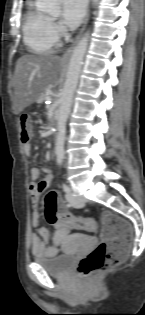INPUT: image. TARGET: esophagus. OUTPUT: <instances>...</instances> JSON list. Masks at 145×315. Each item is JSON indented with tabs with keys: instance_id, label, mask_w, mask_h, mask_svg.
<instances>
[{
	"instance_id": "1",
	"label": "esophagus",
	"mask_w": 145,
	"mask_h": 315,
	"mask_svg": "<svg viewBox=\"0 0 145 315\" xmlns=\"http://www.w3.org/2000/svg\"><path fill=\"white\" fill-rule=\"evenodd\" d=\"M89 4H90V3H89V1H88L87 13H86V17H85V20H84V25H83V27H82V29H81L79 35L77 36L76 40H75L74 43L72 44V46L69 47V48L67 49V51H66V52L63 54V56L61 57V60H62V61H67V60L70 58L75 43L78 41V39L80 38L81 34L84 32V30H85V28H86V25H87L88 19H89Z\"/></svg>"
}]
</instances>
